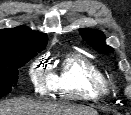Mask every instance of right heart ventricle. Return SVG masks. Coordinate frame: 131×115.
Here are the masks:
<instances>
[{"instance_id":"right-heart-ventricle-1","label":"right heart ventricle","mask_w":131,"mask_h":115,"mask_svg":"<svg viewBox=\"0 0 131 115\" xmlns=\"http://www.w3.org/2000/svg\"><path fill=\"white\" fill-rule=\"evenodd\" d=\"M53 78V90L63 100L98 102L110 92L96 63L75 51L62 58Z\"/></svg>"}]
</instances>
